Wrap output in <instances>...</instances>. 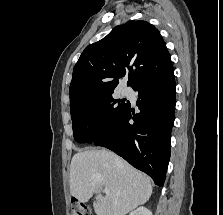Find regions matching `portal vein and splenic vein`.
<instances>
[{
	"label": "portal vein and splenic vein",
	"mask_w": 223,
	"mask_h": 215,
	"mask_svg": "<svg viewBox=\"0 0 223 215\" xmlns=\"http://www.w3.org/2000/svg\"><path fill=\"white\" fill-rule=\"evenodd\" d=\"M103 191H104V193H109L108 187H104Z\"/></svg>",
	"instance_id": "1"
}]
</instances>
